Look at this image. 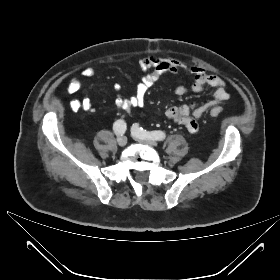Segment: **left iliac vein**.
Here are the masks:
<instances>
[{
    "label": "left iliac vein",
    "mask_w": 280,
    "mask_h": 280,
    "mask_svg": "<svg viewBox=\"0 0 280 280\" xmlns=\"http://www.w3.org/2000/svg\"><path fill=\"white\" fill-rule=\"evenodd\" d=\"M132 136L136 141L142 142V143H146L150 146H157V142L153 139H142L141 137H139L136 133L132 132Z\"/></svg>",
    "instance_id": "left-iliac-vein-1"
}]
</instances>
